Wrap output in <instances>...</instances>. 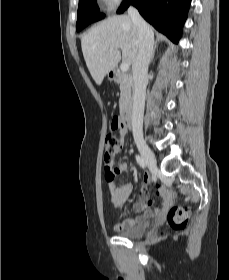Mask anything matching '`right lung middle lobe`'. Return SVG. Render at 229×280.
<instances>
[{
  "label": "right lung middle lobe",
  "instance_id": "right-lung-middle-lobe-1",
  "mask_svg": "<svg viewBox=\"0 0 229 280\" xmlns=\"http://www.w3.org/2000/svg\"><path fill=\"white\" fill-rule=\"evenodd\" d=\"M104 18V14H100L96 0H79L78 19L76 30L80 31L89 25Z\"/></svg>",
  "mask_w": 229,
  "mask_h": 280
}]
</instances>
